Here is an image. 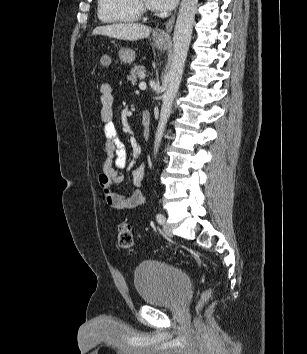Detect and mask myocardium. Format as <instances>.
I'll use <instances>...</instances> for the list:
<instances>
[{"label":"myocardium","mask_w":307,"mask_h":354,"mask_svg":"<svg viewBox=\"0 0 307 354\" xmlns=\"http://www.w3.org/2000/svg\"><path fill=\"white\" fill-rule=\"evenodd\" d=\"M133 2L140 14L150 13V7L144 2V0H133Z\"/></svg>","instance_id":"myocardium-1"}]
</instances>
